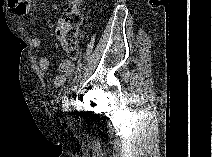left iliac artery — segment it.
Returning a JSON list of instances; mask_svg holds the SVG:
<instances>
[{"label":"left iliac artery","mask_w":212,"mask_h":157,"mask_svg":"<svg viewBox=\"0 0 212 157\" xmlns=\"http://www.w3.org/2000/svg\"><path fill=\"white\" fill-rule=\"evenodd\" d=\"M75 88H72V90H74ZM71 90L70 89H66L64 91V95H63V105L66 106L68 103V95L70 94Z\"/></svg>","instance_id":"left-iliac-artery-1"}]
</instances>
